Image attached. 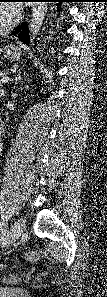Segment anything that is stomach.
<instances>
[{"instance_id":"obj_1","label":"stomach","mask_w":107,"mask_h":297,"mask_svg":"<svg viewBox=\"0 0 107 297\" xmlns=\"http://www.w3.org/2000/svg\"><path fill=\"white\" fill-rule=\"evenodd\" d=\"M3 57L9 61H19L21 59V48L16 45H7L2 49Z\"/></svg>"}]
</instances>
